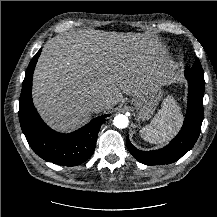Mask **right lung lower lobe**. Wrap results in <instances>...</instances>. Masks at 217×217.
Listing matches in <instances>:
<instances>
[{"instance_id": "obj_1", "label": "right lung lower lobe", "mask_w": 217, "mask_h": 217, "mask_svg": "<svg viewBox=\"0 0 217 217\" xmlns=\"http://www.w3.org/2000/svg\"><path fill=\"white\" fill-rule=\"evenodd\" d=\"M41 50L32 58L19 98V120L22 131L33 151L46 161L58 165L76 166L91 157L97 135L107 115L93 119L81 129L62 134L50 129L40 118L32 102V78Z\"/></svg>"}]
</instances>
